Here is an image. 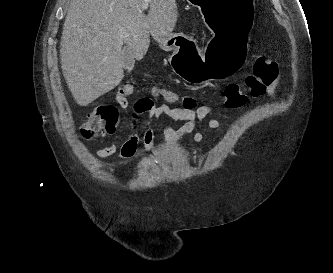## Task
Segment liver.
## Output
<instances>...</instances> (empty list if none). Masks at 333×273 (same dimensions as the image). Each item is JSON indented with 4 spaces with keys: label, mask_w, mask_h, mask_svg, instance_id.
<instances>
[{
    "label": "liver",
    "mask_w": 333,
    "mask_h": 273,
    "mask_svg": "<svg viewBox=\"0 0 333 273\" xmlns=\"http://www.w3.org/2000/svg\"><path fill=\"white\" fill-rule=\"evenodd\" d=\"M71 0L65 18L60 62L75 101L87 106L124 78L122 46L136 60L148 51L149 35L157 42L174 30L176 0Z\"/></svg>",
    "instance_id": "liver-1"
}]
</instances>
